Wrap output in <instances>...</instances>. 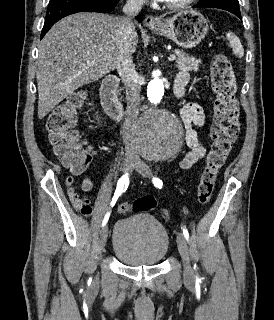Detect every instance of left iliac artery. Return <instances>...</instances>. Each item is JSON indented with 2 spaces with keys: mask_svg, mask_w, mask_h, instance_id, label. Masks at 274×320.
I'll list each match as a JSON object with an SVG mask.
<instances>
[{
  "mask_svg": "<svg viewBox=\"0 0 274 320\" xmlns=\"http://www.w3.org/2000/svg\"><path fill=\"white\" fill-rule=\"evenodd\" d=\"M152 181H153V184H154L155 187H157V188H159V189L162 188L163 183H162V181H161L159 178L154 177ZM182 230H183L184 237L186 238L187 241H189V233H188V230L186 229L185 226L182 227Z\"/></svg>",
  "mask_w": 274,
  "mask_h": 320,
  "instance_id": "1",
  "label": "left iliac artery"
}]
</instances>
